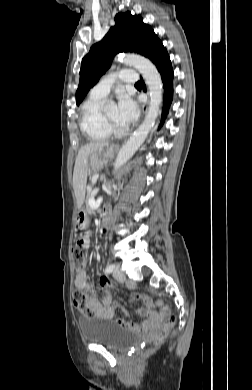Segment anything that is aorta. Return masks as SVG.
Wrapping results in <instances>:
<instances>
[{"label":"aorta","mask_w":252,"mask_h":390,"mask_svg":"<svg viewBox=\"0 0 252 390\" xmlns=\"http://www.w3.org/2000/svg\"><path fill=\"white\" fill-rule=\"evenodd\" d=\"M119 60L125 64L132 65L143 75L149 89L150 103L142 124L119 151L114 164L115 170L124 165L145 141L155 124L162 102L161 77L156 67L148 59L136 54H127L119 57Z\"/></svg>","instance_id":"obj_1"}]
</instances>
